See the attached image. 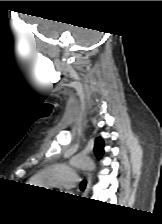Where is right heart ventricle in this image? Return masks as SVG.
<instances>
[{
  "label": "right heart ventricle",
  "instance_id": "1",
  "mask_svg": "<svg viewBox=\"0 0 162 224\" xmlns=\"http://www.w3.org/2000/svg\"><path fill=\"white\" fill-rule=\"evenodd\" d=\"M31 184L41 186L43 185L42 179L40 177L31 180Z\"/></svg>",
  "mask_w": 162,
  "mask_h": 224
}]
</instances>
